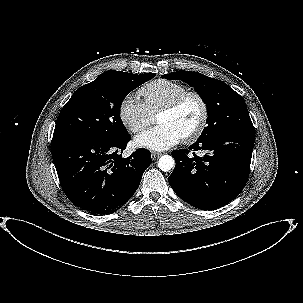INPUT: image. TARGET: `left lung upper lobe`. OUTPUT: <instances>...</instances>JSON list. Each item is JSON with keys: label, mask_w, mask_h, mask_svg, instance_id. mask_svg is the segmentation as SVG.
I'll return each mask as SVG.
<instances>
[{"label": "left lung upper lobe", "mask_w": 303, "mask_h": 303, "mask_svg": "<svg viewBox=\"0 0 303 303\" xmlns=\"http://www.w3.org/2000/svg\"><path fill=\"white\" fill-rule=\"evenodd\" d=\"M162 78L182 80L195 88L207 106V127L200 140L231 131H254L245 101L224 82L198 72L177 71Z\"/></svg>", "instance_id": "left-lung-upper-lobe-1"}]
</instances>
